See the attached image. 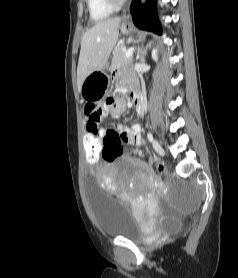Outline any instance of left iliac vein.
<instances>
[{"label":"left iliac vein","mask_w":238,"mask_h":278,"mask_svg":"<svg viewBox=\"0 0 238 278\" xmlns=\"http://www.w3.org/2000/svg\"><path fill=\"white\" fill-rule=\"evenodd\" d=\"M153 147L159 155H161V156L164 155V149L162 148V146L159 144L158 141H156V140L153 141Z\"/></svg>","instance_id":"1"}]
</instances>
